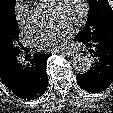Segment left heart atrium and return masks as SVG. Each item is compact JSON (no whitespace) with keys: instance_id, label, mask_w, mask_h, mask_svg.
<instances>
[{"instance_id":"1","label":"left heart atrium","mask_w":113,"mask_h":113,"mask_svg":"<svg viewBox=\"0 0 113 113\" xmlns=\"http://www.w3.org/2000/svg\"><path fill=\"white\" fill-rule=\"evenodd\" d=\"M73 34L69 23L59 20L40 30L35 36V46L42 51H56L66 46V41Z\"/></svg>"}]
</instances>
